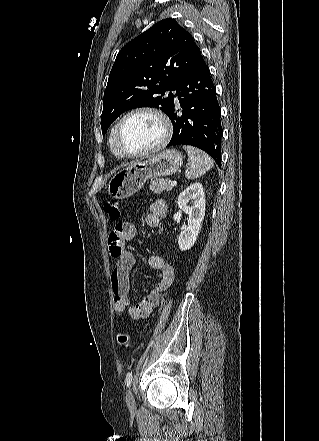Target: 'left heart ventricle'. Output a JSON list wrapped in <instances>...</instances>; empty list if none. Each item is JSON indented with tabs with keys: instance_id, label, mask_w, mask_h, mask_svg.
Returning <instances> with one entry per match:
<instances>
[{
	"instance_id": "b2bd125f",
	"label": "left heart ventricle",
	"mask_w": 319,
	"mask_h": 441,
	"mask_svg": "<svg viewBox=\"0 0 319 441\" xmlns=\"http://www.w3.org/2000/svg\"><path fill=\"white\" fill-rule=\"evenodd\" d=\"M162 136L159 121L149 114L128 118L120 130L121 146L128 152H140L154 146Z\"/></svg>"
}]
</instances>
